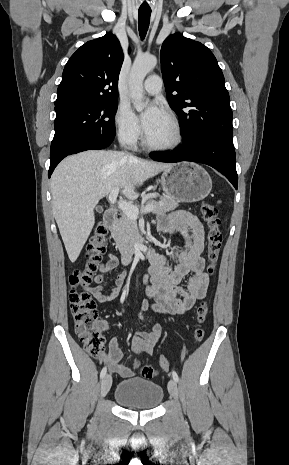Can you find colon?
Wrapping results in <instances>:
<instances>
[{"label": "colon", "mask_w": 289, "mask_h": 465, "mask_svg": "<svg viewBox=\"0 0 289 465\" xmlns=\"http://www.w3.org/2000/svg\"><path fill=\"white\" fill-rule=\"evenodd\" d=\"M201 215L207 225V272L213 274L222 245V232L220 230V219L218 211L210 202H203L200 207ZM107 245V228L103 224H98L89 239L87 245L86 261L83 268L75 270L69 276V306L75 324V333L81 341L84 349L93 357L98 358L104 350V341L96 323L98 313L96 304L87 287L91 283L92 277L102 259ZM208 313L206 302H201L196 309V319L201 325L205 322ZM194 330V338L201 341L205 331L201 326ZM160 367L164 370L168 368V361L164 356L159 359ZM143 377L152 379L157 375V368L152 365L140 366Z\"/></svg>", "instance_id": "colon-1"}]
</instances>
